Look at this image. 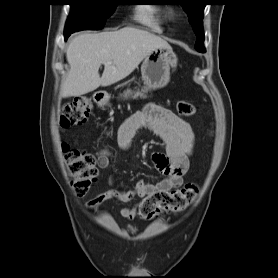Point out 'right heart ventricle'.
<instances>
[{
    "label": "right heart ventricle",
    "instance_id": "obj_1",
    "mask_svg": "<svg viewBox=\"0 0 278 278\" xmlns=\"http://www.w3.org/2000/svg\"><path fill=\"white\" fill-rule=\"evenodd\" d=\"M135 19L150 30L161 32L166 22V12L160 6L139 5L135 9Z\"/></svg>",
    "mask_w": 278,
    "mask_h": 278
}]
</instances>
